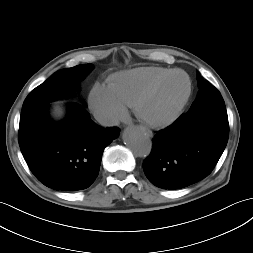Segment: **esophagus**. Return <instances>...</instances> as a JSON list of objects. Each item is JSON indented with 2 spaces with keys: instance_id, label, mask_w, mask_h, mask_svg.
<instances>
[{
  "instance_id": "34e87169",
  "label": "esophagus",
  "mask_w": 253,
  "mask_h": 253,
  "mask_svg": "<svg viewBox=\"0 0 253 253\" xmlns=\"http://www.w3.org/2000/svg\"><path fill=\"white\" fill-rule=\"evenodd\" d=\"M143 130H144V132L148 135V136H152L153 134H152V131L151 130H149V129H144V128H142Z\"/></svg>"
}]
</instances>
